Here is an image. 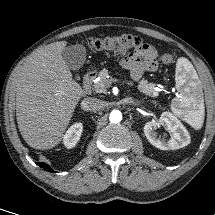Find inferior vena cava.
Masks as SVG:
<instances>
[{
	"instance_id": "1",
	"label": "inferior vena cava",
	"mask_w": 215,
	"mask_h": 215,
	"mask_svg": "<svg viewBox=\"0 0 215 215\" xmlns=\"http://www.w3.org/2000/svg\"><path fill=\"white\" fill-rule=\"evenodd\" d=\"M81 106L84 110L97 112V111L103 109L104 102L95 97H88L82 101Z\"/></svg>"
}]
</instances>
